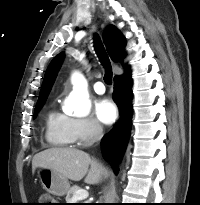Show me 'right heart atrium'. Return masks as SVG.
<instances>
[{
    "label": "right heart atrium",
    "instance_id": "1",
    "mask_svg": "<svg viewBox=\"0 0 200 205\" xmlns=\"http://www.w3.org/2000/svg\"><path fill=\"white\" fill-rule=\"evenodd\" d=\"M70 130L74 142L89 144L102 134L100 125L90 117H70Z\"/></svg>",
    "mask_w": 200,
    "mask_h": 205
}]
</instances>
